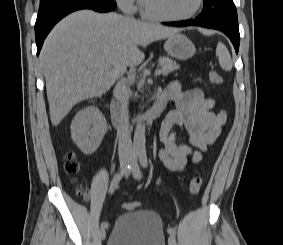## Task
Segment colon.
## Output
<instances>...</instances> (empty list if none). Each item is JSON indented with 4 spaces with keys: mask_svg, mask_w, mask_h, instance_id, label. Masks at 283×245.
<instances>
[{
    "mask_svg": "<svg viewBox=\"0 0 283 245\" xmlns=\"http://www.w3.org/2000/svg\"><path fill=\"white\" fill-rule=\"evenodd\" d=\"M209 80L213 85H220L223 83V77L217 71H211L209 73ZM65 169L69 174H76L79 170V165L72 153H68L66 156ZM201 188L202 178L200 176H194L189 182V192L192 195H197L200 193ZM78 194L84 197L87 196V193L83 189H79ZM123 207L128 210H134L137 209V204L133 202H127L123 204Z\"/></svg>",
    "mask_w": 283,
    "mask_h": 245,
    "instance_id": "obj_1",
    "label": "colon"
}]
</instances>
